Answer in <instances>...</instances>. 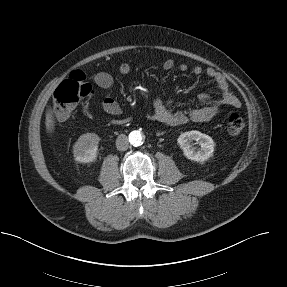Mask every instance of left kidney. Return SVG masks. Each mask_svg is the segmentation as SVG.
I'll return each mask as SVG.
<instances>
[{
	"label": "left kidney",
	"instance_id": "obj_1",
	"mask_svg": "<svg viewBox=\"0 0 287 287\" xmlns=\"http://www.w3.org/2000/svg\"><path fill=\"white\" fill-rule=\"evenodd\" d=\"M193 141H196L200 148L194 147ZM177 142L185 157L195 162H205L212 157L216 145L210 136L196 130L182 133Z\"/></svg>",
	"mask_w": 287,
	"mask_h": 287
}]
</instances>
